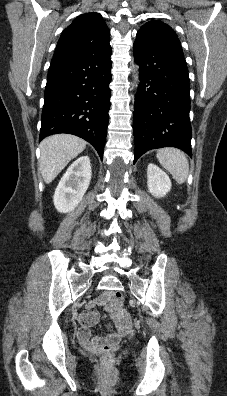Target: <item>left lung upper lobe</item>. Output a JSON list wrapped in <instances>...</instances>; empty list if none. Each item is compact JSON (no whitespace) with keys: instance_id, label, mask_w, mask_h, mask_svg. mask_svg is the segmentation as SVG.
<instances>
[{"instance_id":"1","label":"left lung upper lobe","mask_w":227,"mask_h":396,"mask_svg":"<svg viewBox=\"0 0 227 396\" xmlns=\"http://www.w3.org/2000/svg\"><path fill=\"white\" fill-rule=\"evenodd\" d=\"M137 39L149 44H162L182 50L181 43L174 30L159 20L145 23L137 32Z\"/></svg>"}]
</instances>
